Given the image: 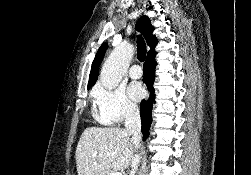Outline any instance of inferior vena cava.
<instances>
[{"label": "inferior vena cava", "mask_w": 251, "mask_h": 175, "mask_svg": "<svg viewBox=\"0 0 251 175\" xmlns=\"http://www.w3.org/2000/svg\"><path fill=\"white\" fill-rule=\"evenodd\" d=\"M125 131L126 133H130L132 135V143H134V147L138 149L141 145V117L140 111L137 105H128L126 109V117L124 121ZM132 169L130 171V175H135L137 169V163L140 161V155L135 153L134 157H132Z\"/></svg>", "instance_id": "obj_1"}]
</instances>
